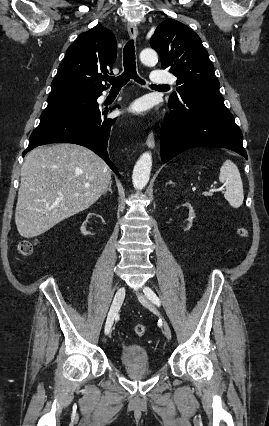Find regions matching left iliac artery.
Segmentation results:
<instances>
[{"instance_id": "left-iliac-artery-1", "label": "left iliac artery", "mask_w": 269, "mask_h": 426, "mask_svg": "<svg viewBox=\"0 0 269 426\" xmlns=\"http://www.w3.org/2000/svg\"><path fill=\"white\" fill-rule=\"evenodd\" d=\"M144 293L149 300H151L157 306H160L159 298L156 296V294L150 288H145Z\"/></svg>"}]
</instances>
